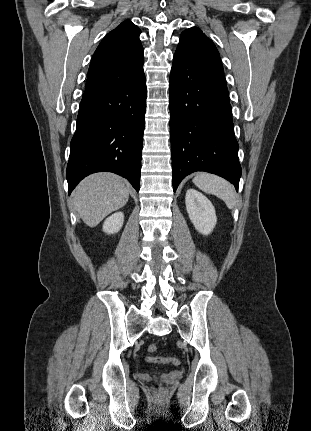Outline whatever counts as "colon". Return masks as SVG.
I'll return each mask as SVG.
<instances>
[{"mask_svg": "<svg viewBox=\"0 0 311 431\" xmlns=\"http://www.w3.org/2000/svg\"><path fill=\"white\" fill-rule=\"evenodd\" d=\"M149 353H155L157 350V346L154 344H150L147 348ZM146 360L150 363L157 364H172V365H180L181 360L178 357H161V356H148ZM156 389L159 388V384L157 382L154 383Z\"/></svg>", "mask_w": 311, "mask_h": 431, "instance_id": "colon-1", "label": "colon"}]
</instances>
